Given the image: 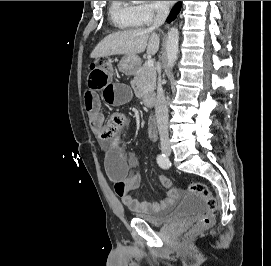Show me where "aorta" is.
Returning <instances> with one entry per match:
<instances>
[{
  "label": "aorta",
  "instance_id": "obj_1",
  "mask_svg": "<svg viewBox=\"0 0 271 266\" xmlns=\"http://www.w3.org/2000/svg\"><path fill=\"white\" fill-rule=\"evenodd\" d=\"M178 52H179V31L177 28L172 27L168 31L166 42L167 63L170 68H172L175 65Z\"/></svg>",
  "mask_w": 271,
  "mask_h": 266
}]
</instances>
